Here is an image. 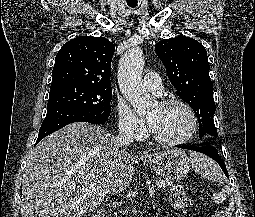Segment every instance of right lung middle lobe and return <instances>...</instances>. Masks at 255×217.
Wrapping results in <instances>:
<instances>
[{
    "label": "right lung middle lobe",
    "mask_w": 255,
    "mask_h": 217,
    "mask_svg": "<svg viewBox=\"0 0 255 217\" xmlns=\"http://www.w3.org/2000/svg\"><path fill=\"white\" fill-rule=\"evenodd\" d=\"M112 88H99L80 84H63L50 87L47 108L68 106L109 117Z\"/></svg>",
    "instance_id": "1"
}]
</instances>
